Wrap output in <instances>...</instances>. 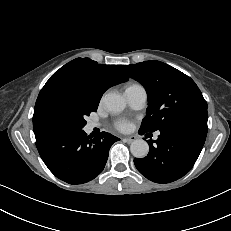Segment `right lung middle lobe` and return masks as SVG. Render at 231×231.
<instances>
[{
	"instance_id": "dd1d6c3e",
	"label": "right lung middle lobe",
	"mask_w": 231,
	"mask_h": 231,
	"mask_svg": "<svg viewBox=\"0 0 231 231\" xmlns=\"http://www.w3.org/2000/svg\"><path fill=\"white\" fill-rule=\"evenodd\" d=\"M99 102L81 86L58 88L35 105L33 129L36 136L75 133L86 125L85 117L97 110Z\"/></svg>"
}]
</instances>
